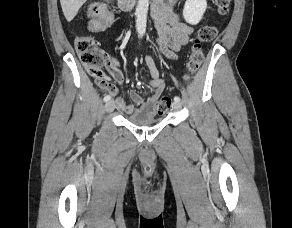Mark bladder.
Masks as SVG:
<instances>
[{
  "mask_svg": "<svg viewBox=\"0 0 292 228\" xmlns=\"http://www.w3.org/2000/svg\"><path fill=\"white\" fill-rule=\"evenodd\" d=\"M128 121L132 124L139 125V126H147L155 124L159 121V118L153 116H147L144 114H134L130 115L128 118Z\"/></svg>",
  "mask_w": 292,
  "mask_h": 228,
  "instance_id": "obj_1",
  "label": "bladder"
}]
</instances>
